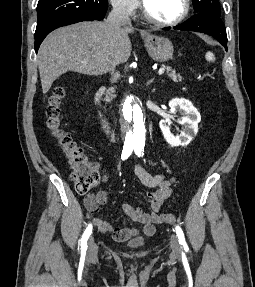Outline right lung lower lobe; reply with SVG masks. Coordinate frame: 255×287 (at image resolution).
<instances>
[{
    "instance_id": "right-lung-lower-lobe-1",
    "label": "right lung lower lobe",
    "mask_w": 255,
    "mask_h": 287,
    "mask_svg": "<svg viewBox=\"0 0 255 287\" xmlns=\"http://www.w3.org/2000/svg\"><path fill=\"white\" fill-rule=\"evenodd\" d=\"M81 21H93V19L82 15H66L57 17L42 23H39L35 32V51L38 52L39 46L44 38L54 29L66 26L69 24L81 22Z\"/></svg>"
}]
</instances>
